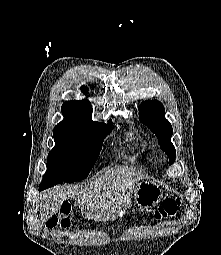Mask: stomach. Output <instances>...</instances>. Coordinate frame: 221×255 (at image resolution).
I'll return each instance as SVG.
<instances>
[{"label":"stomach","instance_id":"0dacf381","mask_svg":"<svg viewBox=\"0 0 221 255\" xmlns=\"http://www.w3.org/2000/svg\"><path fill=\"white\" fill-rule=\"evenodd\" d=\"M162 197L163 191L159 185L149 180L138 182L134 190L135 204L142 210L155 207L161 201ZM116 213L117 217H124L127 213V207H120Z\"/></svg>","mask_w":221,"mask_h":255}]
</instances>
